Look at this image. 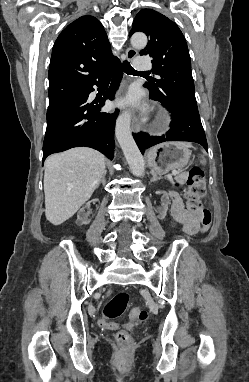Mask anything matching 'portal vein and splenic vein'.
<instances>
[{"mask_svg": "<svg viewBox=\"0 0 249 382\" xmlns=\"http://www.w3.org/2000/svg\"><path fill=\"white\" fill-rule=\"evenodd\" d=\"M172 175H173V176H176V175H177V171H173V172H172Z\"/></svg>", "mask_w": 249, "mask_h": 382, "instance_id": "obj_1", "label": "portal vein and splenic vein"}]
</instances>
